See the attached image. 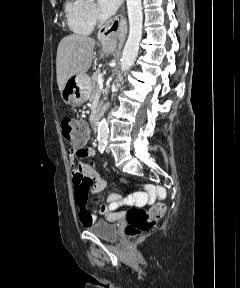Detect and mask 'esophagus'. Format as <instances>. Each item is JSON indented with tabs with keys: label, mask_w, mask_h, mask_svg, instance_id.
<instances>
[{
	"label": "esophagus",
	"mask_w": 240,
	"mask_h": 288,
	"mask_svg": "<svg viewBox=\"0 0 240 288\" xmlns=\"http://www.w3.org/2000/svg\"><path fill=\"white\" fill-rule=\"evenodd\" d=\"M127 23L125 19V9L122 8L120 14L109 20L99 31L98 39L108 46H117L118 41L121 46L125 40Z\"/></svg>",
	"instance_id": "esophagus-1"
}]
</instances>
